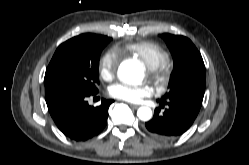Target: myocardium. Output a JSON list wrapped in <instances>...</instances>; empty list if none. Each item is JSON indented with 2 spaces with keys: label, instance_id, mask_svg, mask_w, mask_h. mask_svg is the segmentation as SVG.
I'll return each mask as SVG.
<instances>
[{
  "label": "myocardium",
  "instance_id": "1",
  "mask_svg": "<svg viewBox=\"0 0 249 165\" xmlns=\"http://www.w3.org/2000/svg\"><path fill=\"white\" fill-rule=\"evenodd\" d=\"M149 76L154 85L158 89H163L167 86L171 75V66L168 62L162 63L155 68H148Z\"/></svg>",
  "mask_w": 249,
  "mask_h": 165
}]
</instances>
